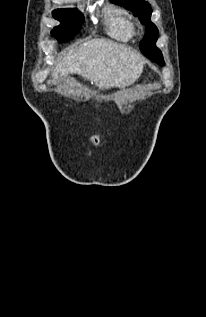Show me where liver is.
I'll return each instance as SVG.
<instances>
[{
  "label": "liver",
  "mask_w": 206,
  "mask_h": 317,
  "mask_svg": "<svg viewBox=\"0 0 206 317\" xmlns=\"http://www.w3.org/2000/svg\"><path fill=\"white\" fill-rule=\"evenodd\" d=\"M144 60L134 50L106 39H92L75 49L56 65L52 77L58 74H78L100 89L133 84L143 71Z\"/></svg>",
  "instance_id": "liver-1"
}]
</instances>
